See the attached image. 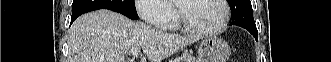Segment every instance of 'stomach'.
<instances>
[{"label":"stomach","mask_w":331,"mask_h":62,"mask_svg":"<svg viewBox=\"0 0 331 62\" xmlns=\"http://www.w3.org/2000/svg\"><path fill=\"white\" fill-rule=\"evenodd\" d=\"M230 54V46L215 36L206 37L199 45L200 62H226Z\"/></svg>","instance_id":"obj_1"}]
</instances>
